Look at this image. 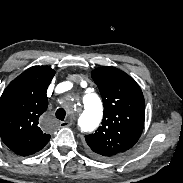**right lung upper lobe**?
<instances>
[{"label":"right lung upper lobe","mask_w":183,"mask_h":183,"mask_svg":"<svg viewBox=\"0 0 183 183\" xmlns=\"http://www.w3.org/2000/svg\"><path fill=\"white\" fill-rule=\"evenodd\" d=\"M54 75L50 67L33 66L15 78L0 98V136L21 156L36 153L50 139L38 121L48 107L46 92Z\"/></svg>","instance_id":"right-lung-upper-lobe-1"}]
</instances>
